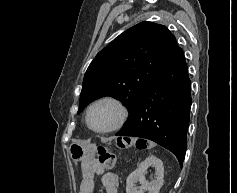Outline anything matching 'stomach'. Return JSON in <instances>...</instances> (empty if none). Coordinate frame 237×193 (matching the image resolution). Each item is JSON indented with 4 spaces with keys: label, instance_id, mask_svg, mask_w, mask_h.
Segmentation results:
<instances>
[{
    "label": "stomach",
    "instance_id": "1",
    "mask_svg": "<svg viewBox=\"0 0 237 193\" xmlns=\"http://www.w3.org/2000/svg\"><path fill=\"white\" fill-rule=\"evenodd\" d=\"M68 152L74 162H79L93 154L94 146L82 142H74L69 146Z\"/></svg>",
    "mask_w": 237,
    "mask_h": 193
}]
</instances>
